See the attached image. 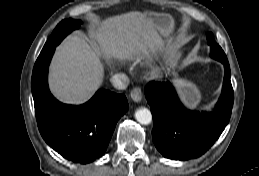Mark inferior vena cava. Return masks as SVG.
<instances>
[{
    "label": "inferior vena cava",
    "mask_w": 259,
    "mask_h": 176,
    "mask_svg": "<svg viewBox=\"0 0 259 176\" xmlns=\"http://www.w3.org/2000/svg\"><path fill=\"white\" fill-rule=\"evenodd\" d=\"M112 85L119 90H124L129 85V78L124 73H117L111 77Z\"/></svg>",
    "instance_id": "602c4592"
}]
</instances>
